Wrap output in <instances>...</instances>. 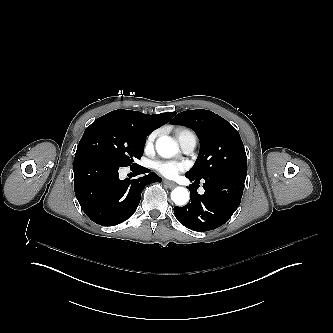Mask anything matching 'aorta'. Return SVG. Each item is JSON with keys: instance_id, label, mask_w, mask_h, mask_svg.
Masks as SVG:
<instances>
[{"instance_id": "762f6f07", "label": "aorta", "mask_w": 333, "mask_h": 333, "mask_svg": "<svg viewBox=\"0 0 333 333\" xmlns=\"http://www.w3.org/2000/svg\"><path fill=\"white\" fill-rule=\"evenodd\" d=\"M157 153L163 158H171L179 151L177 143L168 136L159 137L156 141ZM172 201L179 206L189 201V192L184 187H176L171 192Z\"/></svg>"}]
</instances>
